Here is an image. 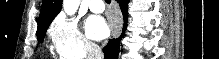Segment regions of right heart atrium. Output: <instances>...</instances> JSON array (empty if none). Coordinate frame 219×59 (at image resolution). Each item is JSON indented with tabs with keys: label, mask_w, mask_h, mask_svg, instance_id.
I'll return each instance as SVG.
<instances>
[{
	"label": "right heart atrium",
	"mask_w": 219,
	"mask_h": 59,
	"mask_svg": "<svg viewBox=\"0 0 219 59\" xmlns=\"http://www.w3.org/2000/svg\"><path fill=\"white\" fill-rule=\"evenodd\" d=\"M49 37L61 59H86L94 56L97 48L81 31L78 22L66 16L55 19L49 29Z\"/></svg>",
	"instance_id": "1"
}]
</instances>
